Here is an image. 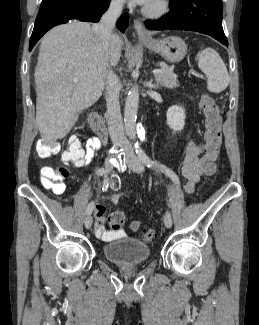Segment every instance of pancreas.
I'll use <instances>...</instances> for the list:
<instances>
[{"mask_svg": "<svg viewBox=\"0 0 259 325\" xmlns=\"http://www.w3.org/2000/svg\"><path fill=\"white\" fill-rule=\"evenodd\" d=\"M161 73L155 74V79L158 84L163 87L173 89L179 86L177 75L167 65L161 66Z\"/></svg>", "mask_w": 259, "mask_h": 325, "instance_id": "cf45deb5", "label": "pancreas"}]
</instances>
